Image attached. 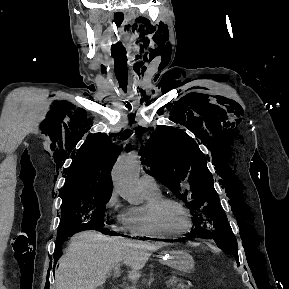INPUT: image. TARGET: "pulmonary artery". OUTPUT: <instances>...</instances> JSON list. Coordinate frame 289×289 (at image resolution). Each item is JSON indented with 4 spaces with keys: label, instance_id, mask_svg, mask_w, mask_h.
<instances>
[{
    "label": "pulmonary artery",
    "instance_id": "pulmonary-artery-1",
    "mask_svg": "<svg viewBox=\"0 0 289 289\" xmlns=\"http://www.w3.org/2000/svg\"><path fill=\"white\" fill-rule=\"evenodd\" d=\"M140 186L143 191L150 193L159 192V185L156 179L150 174H143L140 178Z\"/></svg>",
    "mask_w": 289,
    "mask_h": 289
}]
</instances>
